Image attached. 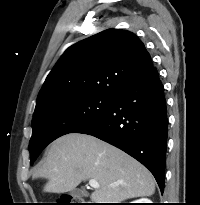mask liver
Instances as JSON below:
<instances>
[{
	"label": "liver",
	"instance_id": "1",
	"mask_svg": "<svg viewBox=\"0 0 200 205\" xmlns=\"http://www.w3.org/2000/svg\"><path fill=\"white\" fill-rule=\"evenodd\" d=\"M48 180L43 191L64 193L82 181L96 180L94 203H120L155 192L152 174L122 150L91 135L69 133L53 141L34 178Z\"/></svg>",
	"mask_w": 200,
	"mask_h": 205
}]
</instances>
